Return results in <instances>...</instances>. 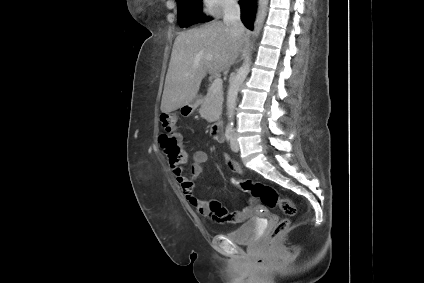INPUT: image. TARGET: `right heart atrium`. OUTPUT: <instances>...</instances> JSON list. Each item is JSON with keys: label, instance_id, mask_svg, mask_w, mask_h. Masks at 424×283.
I'll use <instances>...</instances> for the list:
<instances>
[{"label": "right heart atrium", "instance_id": "1", "mask_svg": "<svg viewBox=\"0 0 424 283\" xmlns=\"http://www.w3.org/2000/svg\"><path fill=\"white\" fill-rule=\"evenodd\" d=\"M236 4L237 0H201L203 9L212 15H220L234 8Z\"/></svg>", "mask_w": 424, "mask_h": 283}]
</instances>
